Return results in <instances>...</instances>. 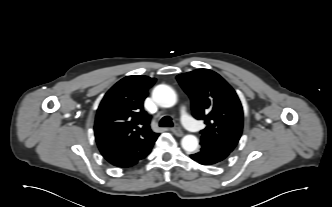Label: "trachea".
<instances>
[{"mask_svg": "<svg viewBox=\"0 0 332 207\" xmlns=\"http://www.w3.org/2000/svg\"><path fill=\"white\" fill-rule=\"evenodd\" d=\"M159 125L161 127H173V122L170 116H164L160 122Z\"/></svg>", "mask_w": 332, "mask_h": 207, "instance_id": "trachea-1", "label": "trachea"}]
</instances>
